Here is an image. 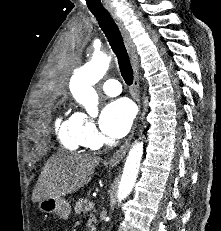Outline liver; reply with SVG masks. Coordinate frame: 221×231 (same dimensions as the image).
Here are the masks:
<instances>
[{
    "mask_svg": "<svg viewBox=\"0 0 221 231\" xmlns=\"http://www.w3.org/2000/svg\"><path fill=\"white\" fill-rule=\"evenodd\" d=\"M100 157L61 151L44 165L32 193L36 203L49 197H61L76 192L88 184Z\"/></svg>",
    "mask_w": 221,
    "mask_h": 231,
    "instance_id": "1",
    "label": "liver"
}]
</instances>
